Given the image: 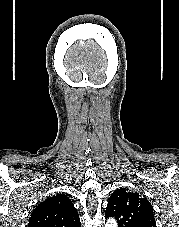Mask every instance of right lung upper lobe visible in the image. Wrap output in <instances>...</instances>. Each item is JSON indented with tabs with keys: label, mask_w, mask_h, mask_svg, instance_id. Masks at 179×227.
<instances>
[{
	"label": "right lung upper lobe",
	"mask_w": 179,
	"mask_h": 227,
	"mask_svg": "<svg viewBox=\"0 0 179 227\" xmlns=\"http://www.w3.org/2000/svg\"><path fill=\"white\" fill-rule=\"evenodd\" d=\"M27 227H81L76 208L62 194L46 199L36 206Z\"/></svg>",
	"instance_id": "1"
}]
</instances>
